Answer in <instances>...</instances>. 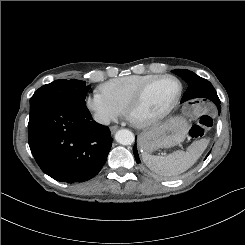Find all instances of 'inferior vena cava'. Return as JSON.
I'll return each instance as SVG.
<instances>
[{"label": "inferior vena cava", "instance_id": "inferior-vena-cava-1", "mask_svg": "<svg viewBox=\"0 0 245 245\" xmlns=\"http://www.w3.org/2000/svg\"><path fill=\"white\" fill-rule=\"evenodd\" d=\"M95 120L98 123H101L103 125H109L110 124V118L106 116H95Z\"/></svg>", "mask_w": 245, "mask_h": 245}]
</instances>
